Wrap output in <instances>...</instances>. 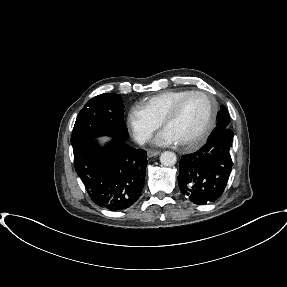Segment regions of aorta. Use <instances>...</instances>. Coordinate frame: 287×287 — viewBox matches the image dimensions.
Listing matches in <instances>:
<instances>
[{
  "label": "aorta",
  "mask_w": 287,
  "mask_h": 287,
  "mask_svg": "<svg viewBox=\"0 0 287 287\" xmlns=\"http://www.w3.org/2000/svg\"><path fill=\"white\" fill-rule=\"evenodd\" d=\"M177 161L176 154L171 151H165L160 155V162L163 166L171 167Z\"/></svg>",
  "instance_id": "aorta-1"
}]
</instances>
